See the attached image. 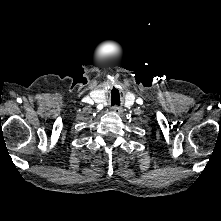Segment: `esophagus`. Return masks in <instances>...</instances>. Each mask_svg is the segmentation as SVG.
<instances>
[{"label":"esophagus","mask_w":221,"mask_h":221,"mask_svg":"<svg viewBox=\"0 0 221 221\" xmlns=\"http://www.w3.org/2000/svg\"><path fill=\"white\" fill-rule=\"evenodd\" d=\"M112 111L114 112V113H121L122 112V109L120 108V107H118V106H113L112 107Z\"/></svg>","instance_id":"1"}]
</instances>
